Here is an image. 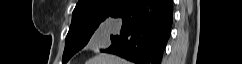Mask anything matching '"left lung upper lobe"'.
Here are the masks:
<instances>
[{"instance_id":"5c2ea615","label":"left lung upper lobe","mask_w":242,"mask_h":64,"mask_svg":"<svg viewBox=\"0 0 242 64\" xmlns=\"http://www.w3.org/2000/svg\"><path fill=\"white\" fill-rule=\"evenodd\" d=\"M126 0H79L66 36L62 63L65 64L89 41L98 26Z\"/></svg>"}]
</instances>
